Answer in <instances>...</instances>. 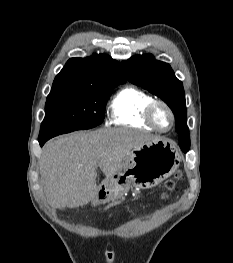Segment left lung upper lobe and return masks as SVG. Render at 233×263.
Wrapping results in <instances>:
<instances>
[{
	"label": "left lung upper lobe",
	"mask_w": 233,
	"mask_h": 263,
	"mask_svg": "<svg viewBox=\"0 0 233 263\" xmlns=\"http://www.w3.org/2000/svg\"><path fill=\"white\" fill-rule=\"evenodd\" d=\"M121 66L131 83L160 97L171 108L179 139L190 143L183 84L175 77L170 65L155 60L151 54H145L122 61Z\"/></svg>",
	"instance_id": "left-lung-upper-lobe-1"
}]
</instances>
